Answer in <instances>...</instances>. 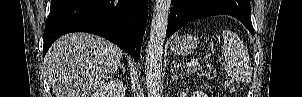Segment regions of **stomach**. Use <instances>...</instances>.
<instances>
[{"label": "stomach", "instance_id": "obj_1", "mask_svg": "<svg viewBox=\"0 0 302 97\" xmlns=\"http://www.w3.org/2000/svg\"><path fill=\"white\" fill-rule=\"evenodd\" d=\"M198 46L197 39L190 34L176 36L172 39L170 49L175 55L187 56L196 50Z\"/></svg>", "mask_w": 302, "mask_h": 97}]
</instances>
